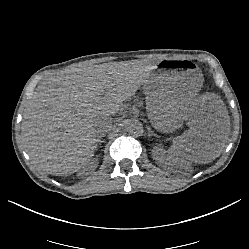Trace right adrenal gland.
<instances>
[{
    "mask_svg": "<svg viewBox=\"0 0 249 249\" xmlns=\"http://www.w3.org/2000/svg\"><path fill=\"white\" fill-rule=\"evenodd\" d=\"M104 135H105V133L103 132V133H100V134L97 136V142H98L99 144H101V141H102Z\"/></svg>",
    "mask_w": 249,
    "mask_h": 249,
    "instance_id": "obj_1",
    "label": "right adrenal gland"
}]
</instances>
